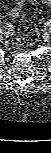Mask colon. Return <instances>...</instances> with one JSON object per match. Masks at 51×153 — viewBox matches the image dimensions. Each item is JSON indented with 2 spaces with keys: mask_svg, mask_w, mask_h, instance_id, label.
Segmentation results:
<instances>
[{
  "mask_svg": "<svg viewBox=\"0 0 51 153\" xmlns=\"http://www.w3.org/2000/svg\"><path fill=\"white\" fill-rule=\"evenodd\" d=\"M13 45H14L15 47H19V46L22 45V42H21L20 39H16V40L13 42Z\"/></svg>",
  "mask_w": 51,
  "mask_h": 153,
  "instance_id": "colon-1",
  "label": "colon"
}]
</instances>
